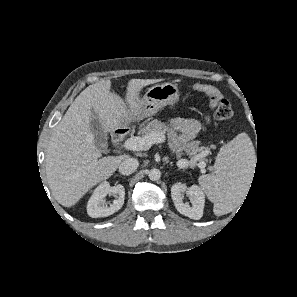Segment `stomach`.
<instances>
[{"mask_svg":"<svg viewBox=\"0 0 297 297\" xmlns=\"http://www.w3.org/2000/svg\"><path fill=\"white\" fill-rule=\"evenodd\" d=\"M179 97L180 91L176 84L162 83L152 86L141 99L139 114L133 120H141L153 116L162 107L178 102Z\"/></svg>","mask_w":297,"mask_h":297,"instance_id":"obj_1","label":"stomach"}]
</instances>
